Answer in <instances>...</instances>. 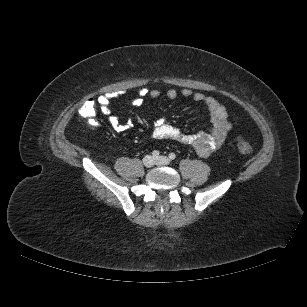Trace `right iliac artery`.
Returning a JSON list of instances; mask_svg holds the SVG:
<instances>
[{
	"mask_svg": "<svg viewBox=\"0 0 307 307\" xmlns=\"http://www.w3.org/2000/svg\"><path fill=\"white\" fill-rule=\"evenodd\" d=\"M159 151H157V150H154L153 152H152V157L153 158H158L159 157Z\"/></svg>",
	"mask_w": 307,
	"mask_h": 307,
	"instance_id": "82829eb1",
	"label": "right iliac artery"
}]
</instances>
